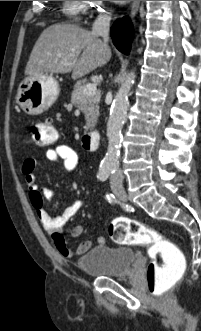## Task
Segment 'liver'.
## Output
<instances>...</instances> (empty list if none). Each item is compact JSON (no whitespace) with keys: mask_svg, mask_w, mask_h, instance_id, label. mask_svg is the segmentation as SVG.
Listing matches in <instances>:
<instances>
[{"mask_svg":"<svg viewBox=\"0 0 201 331\" xmlns=\"http://www.w3.org/2000/svg\"><path fill=\"white\" fill-rule=\"evenodd\" d=\"M110 55L107 46L92 32L73 24H54L35 43L25 75L72 72V78L78 79L105 64Z\"/></svg>","mask_w":201,"mask_h":331,"instance_id":"1","label":"liver"}]
</instances>
